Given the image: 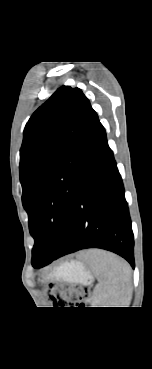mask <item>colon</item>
Here are the masks:
<instances>
[{"mask_svg": "<svg viewBox=\"0 0 152 369\" xmlns=\"http://www.w3.org/2000/svg\"><path fill=\"white\" fill-rule=\"evenodd\" d=\"M48 296L57 307L70 304L80 306L87 299V291L78 285L52 284L48 290Z\"/></svg>", "mask_w": 152, "mask_h": 369, "instance_id": "1", "label": "colon"}]
</instances>
